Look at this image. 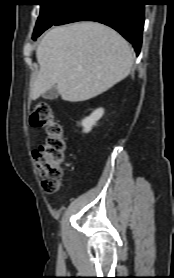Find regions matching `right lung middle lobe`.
<instances>
[{"label":"right lung middle lobe","instance_id":"right-lung-middle-lobe-1","mask_svg":"<svg viewBox=\"0 0 174 278\" xmlns=\"http://www.w3.org/2000/svg\"><path fill=\"white\" fill-rule=\"evenodd\" d=\"M74 0H38L41 6L33 39L52 26Z\"/></svg>","mask_w":174,"mask_h":278}]
</instances>
